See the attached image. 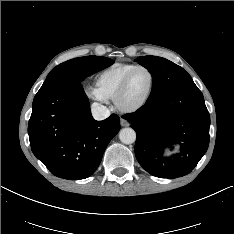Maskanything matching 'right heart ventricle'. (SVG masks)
Instances as JSON below:
<instances>
[{"instance_id":"obj_1","label":"right heart ventricle","mask_w":234,"mask_h":234,"mask_svg":"<svg viewBox=\"0 0 234 234\" xmlns=\"http://www.w3.org/2000/svg\"><path fill=\"white\" fill-rule=\"evenodd\" d=\"M136 66L135 64L117 63L100 71L95 79L99 93L107 100H114L125 76Z\"/></svg>"}]
</instances>
